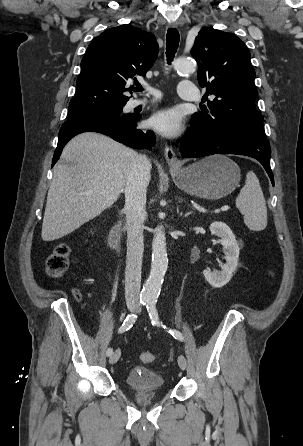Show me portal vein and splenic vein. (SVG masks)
I'll return each instance as SVG.
<instances>
[{
	"instance_id": "18ae733b",
	"label": "portal vein and splenic vein",
	"mask_w": 303,
	"mask_h": 446,
	"mask_svg": "<svg viewBox=\"0 0 303 446\" xmlns=\"http://www.w3.org/2000/svg\"><path fill=\"white\" fill-rule=\"evenodd\" d=\"M229 209H230V207L228 205L221 207L222 211H228Z\"/></svg>"
}]
</instances>
